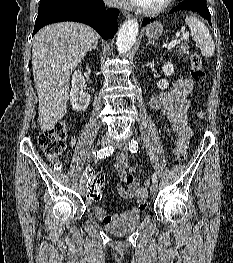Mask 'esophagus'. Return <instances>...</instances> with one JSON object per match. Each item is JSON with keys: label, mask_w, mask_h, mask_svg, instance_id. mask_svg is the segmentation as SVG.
I'll return each mask as SVG.
<instances>
[{"label": "esophagus", "mask_w": 233, "mask_h": 263, "mask_svg": "<svg viewBox=\"0 0 233 263\" xmlns=\"http://www.w3.org/2000/svg\"><path fill=\"white\" fill-rule=\"evenodd\" d=\"M123 15H124L126 18H131V17H132V14L129 13V12H126V11L123 12Z\"/></svg>", "instance_id": "34e87169"}]
</instances>
